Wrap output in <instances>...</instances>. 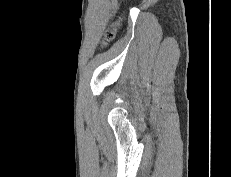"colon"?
<instances>
[{"mask_svg": "<svg viewBox=\"0 0 231 177\" xmlns=\"http://www.w3.org/2000/svg\"><path fill=\"white\" fill-rule=\"evenodd\" d=\"M118 26H119V21H116L112 25L111 29L107 31V33L105 34V37H104V44L109 42L114 37L115 31H116Z\"/></svg>", "mask_w": 231, "mask_h": 177, "instance_id": "colon-1", "label": "colon"}]
</instances>
